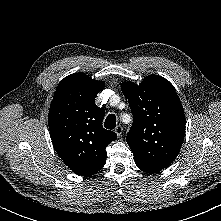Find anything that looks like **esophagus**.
Instances as JSON below:
<instances>
[{
    "instance_id": "esophagus-1",
    "label": "esophagus",
    "mask_w": 221,
    "mask_h": 221,
    "mask_svg": "<svg viewBox=\"0 0 221 221\" xmlns=\"http://www.w3.org/2000/svg\"><path fill=\"white\" fill-rule=\"evenodd\" d=\"M122 131H123V128H122L121 125H118V126L115 128V133L117 134L118 137L121 136Z\"/></svg>"
}]
</instances>
